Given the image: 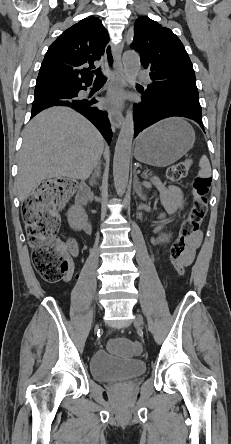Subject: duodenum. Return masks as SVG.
<instances>
[{
    "instance_id": "1",
    "label": "duodenum",
    "mask_w": 231,
    "mask_h": 444,
    "mask_svg": "<svg viewBox=\"0 0 231 444\" xmlns=\"http://www.w3.org/2000/svg\"><path fill=\"white\" fill-rule=\"evenodd\" d=\"M90 198V188L86 184H82L80 186L78 196H77V204L82 210H85L86 206L88 205ZM85 230L89 231L90 226L88 224L85 225Z\"/></svg>"
}]
</instances>
